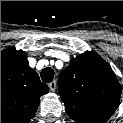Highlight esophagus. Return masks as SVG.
<instances>
[{
	"mask_svg": "<svg viewBox=\"0 0 123 123\" xmlns=\"http://www.w3.org/2000/svg\"><path fill=\"white\" fill-rule=\"evenodd\" d=\"M49 88L51 91H55L56 89V81H52L49 83Z\"/></svg>",
	"mask_w": 123,
	"mask_h": 123,
	"instance_id": "esophagus-1",
	"label": "esophagus"
}]
</instances>
